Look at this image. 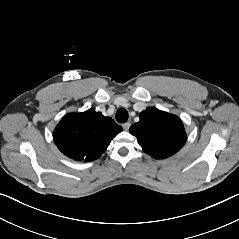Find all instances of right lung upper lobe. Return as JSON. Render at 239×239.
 I'll list each match as a JSON object with an SVG mask.
<instances>
[{"label": "right lung upper lobe", "mask_w": 239, "mask_h": 239, "mask_svg": "<svg viewBox=\"0 0 239 239\" xmlns=\"http://www.w3.org/2000/svg\"><path fill=\"white\" fill-rule=\"evenodd\" d=\"M122 127L110 117L89 109L65 115L56 126L53 137L58 149L76 161L98 159Z\"/></svg>", "instance_id": "obj_1"}]
</instances>
